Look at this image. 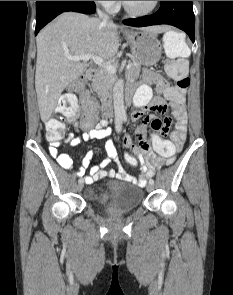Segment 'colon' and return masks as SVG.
<instances>
[{
  "mask_svg": "<svg viewBox=\"0 0 233 295\" xmlns=\"http://www.w3.org/2000/svg\"><path fill=\"white\" fill-rule=\"evenodd\" d=\"M163 47L168 61L165 65L166 73L175 81V85L170 87L173 96L183 94L189 86L187 58L190 55V47L187 39L176 31H169L164 35ZM86 92V80L81 77L69 86V92L64 94L56 109L54 116L50 117L45 124L47 139L58 142L64 135L65 124L61 118H72L77 114V104L74 94ZM95 115V111L89 113L90 117ZM165 136L166 133L160 132ZM156 152L160 156L168 157L175 152L173 143L166 139L156 138L154 142ZM124 161L127 166L135 167L137 158L132 154L125 153Z\"/></svg>",
  "mask_w": 233,
  "mask_h": 295,
  "instance_id": "1",
  "label": "colon"
}]
</instances>
